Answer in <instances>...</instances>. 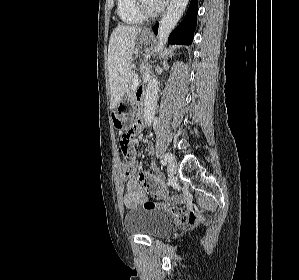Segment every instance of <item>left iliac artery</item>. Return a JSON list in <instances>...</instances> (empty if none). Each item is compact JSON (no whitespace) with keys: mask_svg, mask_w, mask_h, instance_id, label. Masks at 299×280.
<instances>
[{"mask_svg":"<svg viewBox=\"0 0 299 280\" xmlns=\"http://www.w3.org/2000/svg\"><path fill=\"white\" fill-rule=\"evenodd\" d=\"M173 155L171 154V153H166L165 155H164V161L165 162H170V161H172L173 160Z\"/></svg>","mask_w":299,"mask_h":280,"instance_id":"obj_1","label":"left iliac artery"}]
</instances>
